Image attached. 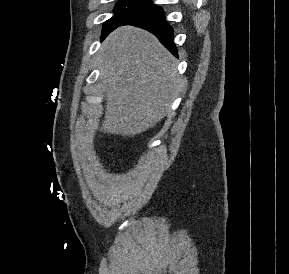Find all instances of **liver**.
<instances>
[{
  "instance_id": "1",
  "label": "liver",
  "mask_w": 289,
  "mask_h": 274,
  "mask_svg": "<svg viewBox=\"0 0 289 274\" xmlns=\"http://www.w3.org/2000/svg\"><path fill=\"white\" fill-rule=\"evenodd\" d=\"M100 79L106 95L101 130L135 136L170 112L182 81L176 61L151 33L119 27L100 49Z\"/></svg>"
}]
</instances>
